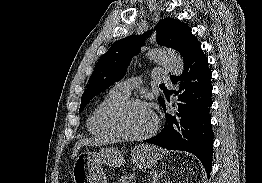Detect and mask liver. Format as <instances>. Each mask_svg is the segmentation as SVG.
I'll return each mask as SVG.
<instances>
[{
	"label": "liver",
	"instance_id": "liver-1",
	"mask_svg": "<svg viewBox=\"0 0 262 183\" xmlns=\"http://www.w3.org/2000/svg\"><path fill=\"white\" fill-rule=\"evenodd\" d=\"M117 140L115 139H109V138H86L79 140L74 147V150L72 152V158H75L78 154V151L83 146H100L105 144H111L115 143Z\"/></svg>",
	"mask_w": 262,
	"mask_h": 183
}]
</instances>
